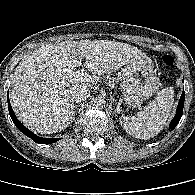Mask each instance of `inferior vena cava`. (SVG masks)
<instances>
[{
  "mask_svg": "<svg viewBox=\"0 0 195 195\" xmlns=\"http://www.w3.org/2000/svg\"><path fill=\"white\" fill-rule=\"evenodd\" d=\"M72 95L76 103L83 102L90 96V90L86 86H80L72 92Z\"/></svg>",
  "mask_w": 195,
  "mask_h": 195,
  "instance_id": "inferior-vena-cava-1",
  "label": "inferior vena cava"
}]
</instances>
